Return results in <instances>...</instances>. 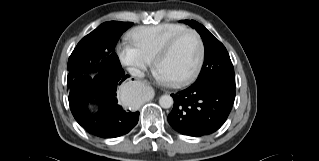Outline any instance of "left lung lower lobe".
<instances>
[{"label": "left lung lower lobe", "instance_id": "0a47b994", "mask_svg": "<svg viewBox=\"0 0 319 161\" xmlns=\"http://www.w3.org/2000/svg\"><path fill=\"white\" fill-rule=\"evenodd\" d=\"M174 106L168 122L177 132L199 137L218 130L226 121L235 99V88L220 83H194L171 94Z\"/></svg>", "mask_w": 319, "mask_h": 161}]
</instances>
